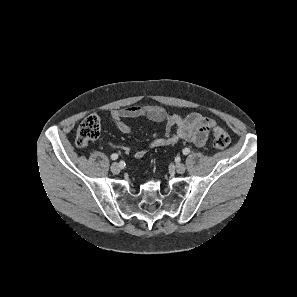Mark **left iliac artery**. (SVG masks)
<instances>
[{"label": "left iliac artery", "instance_id": "left-iliac-artery-1", "mask_svg": "<svg viewBox=\"0 0 297 297\" xmlns=\"http://www.w3.org/2000/svg\"><path fill=\"white\" fill-rule=\"evenodd\" d=\"M190 153V149L189 148H184L183 149V154L184 155H187V154H189Z\"/></svg>", "mask_w": 297, "mask_h": 297}]
</instances>
